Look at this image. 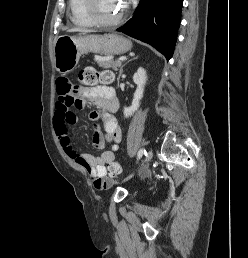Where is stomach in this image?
<instances>
[{"label":"stomach","instance_id":"stomach-1","mask_svg":"<svg viewBox=\"0 0 248 258\" xmlns=\"http://www.w3.org/2000/svg\"><path fill=\"white\" fill-rule=\"evenodd\" d=\"M131 47V41L118 34L79 37L62 35L54 42V65L58 72L68 73L77 66L82 54H123Z\"/></svg>","mask_w":248,"mask_h":258}]
</instances>
